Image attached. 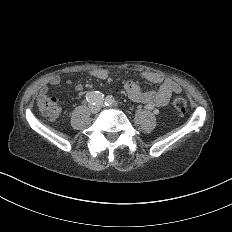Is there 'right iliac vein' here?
Here are the masks:
<instances>
[{"label": "right iliac vein", "mask_w": 232, "mask_h": 232, "mask_svg": "<svg viewBox=\"0 0 232 232\" xmlns=\"http://www.w3.org/2000/svg\"><path fill=\"white\" fill-rule=\"evenodd\" d=\"M89 110L91 113H96V112H99L100 111V106L97 105V106H92L91 104L89 105Z\"/></svg>", "instance_id": "63e3f726"}]
</instances>
